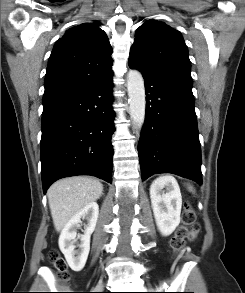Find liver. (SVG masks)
<instances>
[{"mask_svg": "<svg viewBox=\"0 0 245 293\" xmlns=\"http://www.w3.org/2000/svg\"><path fill=\"white\" fill-rule=\"evenodd\" d=\"M103 192V185L96 179L76 176L55 182L47 192L49 207L56 231L82 208L95 202Z\"/></svg>", "mask_w": 245, "mask_h": 293, "instance_id": "6515ba94", "label": "liver"}]
</instances>
